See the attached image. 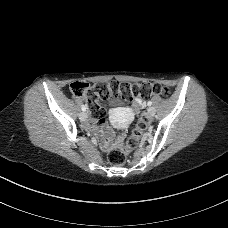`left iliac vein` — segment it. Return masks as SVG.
<instances>
[{"label":"left iliac vein","instance_id":"1","mask_svg":"<svg viewBox=\"0 0 228 228\" xmlns=\"http://www.w3.org/2000/svg\"><path fill=\"white\" fill-rule=\"evenodd\" d=\"M147 113L149 117H153L155 114V109L153 107H149Z\"/></svg>","mask_w":228,"mask_h":228}]
</instances>
